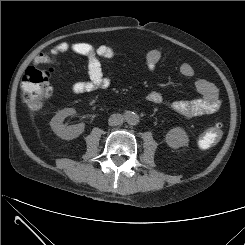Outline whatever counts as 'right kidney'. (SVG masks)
I'll return each instance as SVG.
<instances>
[{
  "label": "right kidney",
  "instance_id": "ca27d5eb",
  "mask_svg": "<svg viewBox=\"0 0 245 245\" xmlns=\"http://www.w3.org/2000/svg\"><path fill=\"white\" fill-rule=\"evenodd\" d=\"M76 113L73 108H65L61 111H58L57 114L51 119L50 126L53 132L60 138L64 140H72L77 138L80 134L83 133L85 124L79 123L76 125L66 126L63 124V121L66 117L74 115Z\"/></svg>",
  "mask_w": 245,
  "mask_h": 245
}]
</instances>
